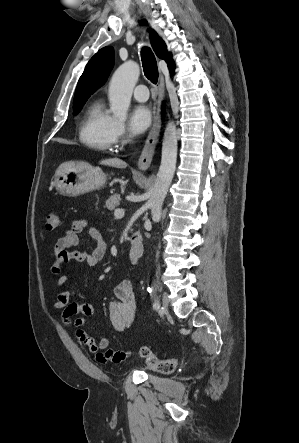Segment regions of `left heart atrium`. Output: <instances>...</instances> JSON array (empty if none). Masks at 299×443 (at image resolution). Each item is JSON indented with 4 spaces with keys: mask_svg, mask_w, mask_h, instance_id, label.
Listing matches in <instances>:
<instances>
[{
    "mask_svg": "<svg viewBox=\"0 0 299 443\" xmlns=\"http://www.w3.org/2000/svg\"><path fill=\"white\" fill-rule=\"evenodd\" d=\"M152 115L150 109L145 105H137L130 114L129 125L133 134H141L150 126Z\"/></svg>",
    "mask_w": 299,
    "mask_h": 443,
    "instance_id": "1",
    "label": "left heart atrium"
}]
</instances>
